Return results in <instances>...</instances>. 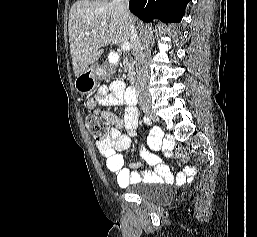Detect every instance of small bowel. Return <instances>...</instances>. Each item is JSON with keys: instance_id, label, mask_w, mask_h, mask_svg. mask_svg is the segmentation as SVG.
Wrapping results in <instances>:
<instances>
[{"instance_id": "c3829d8e", "label": "small bowel", "mask_w": 257, "mask_h": 237, "mask_svg": "<svg viewBox=\"0 0 257 237\" xmlns=\"http://www.w3.org/2000/svg\"><path fill=\"white\" fill-rule=\"evenodd\" d=\"M122 117L117 116L105 107H115L125 105ZM86 106L94 113L99 114L110 125L111 129L106 139L97 141L96 147L99 154L106 161L107 169L116 176L117 183L121 187H126L131 183L141 181L147 183L166 182L176 184L190 178L196 172L195 167H187L176 174L172 173L169 168L162 162L156 153L162 140V133L155 130L150 132L148 137L149 148L140 147L142 158L148 162L153 171L145 170L140 164H135L134 170L123 167V158L121 153L127 150L131 145V136L135 134L138 124L139 111L126 102L125 84L120 80H114L109 85H102L98 88L96 94L86 101ZM125 130L127 134L121 131ZM164 151L170 154V143H165Z\"/></svg>"}]
</instances>
